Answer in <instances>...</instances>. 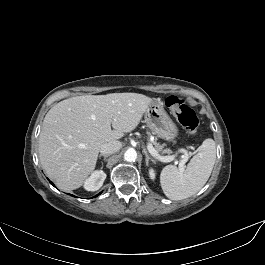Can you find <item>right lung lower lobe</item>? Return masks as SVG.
<instances>
[{
    "mask_svg": "<svg viewBox=\"0 0 265 265\" xmlns=\"http://www.w3.org/2000/svg\"><path fill=\"white\" fill-rule=\"evenodd\" d=\"M50 183L54 186V184L52 182H50Z\"/></svg>",
    "mask_w": 265,
    "mask_h": 265,
    "instance_id": "right-lung-lower-lobe-1",
    "label": "right lung lower lobe"
}]
</instances>
